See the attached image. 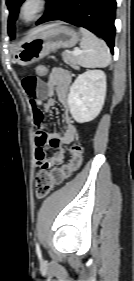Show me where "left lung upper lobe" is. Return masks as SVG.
Wrapping results in <instances>:
<instances>
[{
	"label": "left lung upper lobe",
	"instance_id": "5c2ea615",
	"mask_svg": "<svg viewBox=\"0 0 134 281\" xmlns=\"http://www.w3.org/2000/svg\"><path fill=\"white\" fill-rule=\"evenodd\" d=\"M24 0H7L6 4L9 9V24H8V33L11 38L15 37V27L14 23L18 15L19 6Z\"/></svg>",
	"mask_w": 134,
	"mask_h": 281
}]
</instances>
